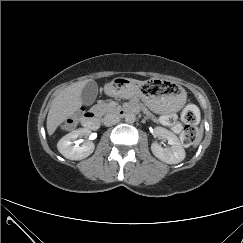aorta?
Wrapping results in <instances>:
<instances>
[{"label": "aorta", "mask_w": 243, "mask_h": 243, "mask_svg": "<svg viewBox=\"0 0 243 243\" xmlns=\"http://www.w3.org/2000/svg\"><path fill=\"white\" fill-rule=\"evenodd\" d=\"M125 121L129 124H132L136 121V115L134 113H127L125 115Z\"/></svg>", "instance_id": "1"}]
</instances>
